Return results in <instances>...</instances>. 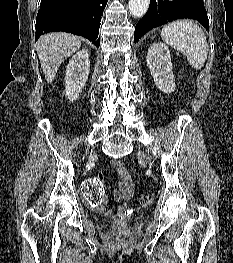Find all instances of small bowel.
I'll list each match as a JSON object with an SVG mask.
<instances>
[{"mask_svg": "<svg viewBox=\"0 0 233 263\" xmlns=\"http://www.w3.org/2000/svg\"><path fill=\"white\" fill-rule=\"evenodd\" d=\"M111 167L117 174V188L113 192L114 199L118 202H121L118 210L124 211L126 209V205L123 202L130 199V197L132 196L134 183L122 161L113 160L111 162ZM100 202L101 203L99 207L95 209L99 213H105L106 197L104 195V192Z\"/></svg>", "mask_w": 233, "mask_h": 263, "instance_id": "c3829d8e", "label": "small bowel"}]
</instances>
